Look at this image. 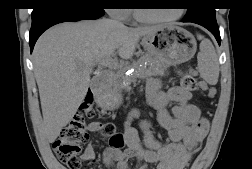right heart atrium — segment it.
Returning a JSON list of instances; mask_svg holds the SVG:
<instances>
[{"label":"right heart atrium","instance_id":"obj_1","mask_svg":"<svg viewBox=\"0 0 252 169\" xmlns=\"http://www.w3.org/2000/svg\"><path fill=\"white\" fill-rule=\"evenodd\" d=\"M109 12L119 20H127L129 17V10L123 8L109 9Z\"/></svg>","mask_w":252,"mask_h":169}]
</instances>
